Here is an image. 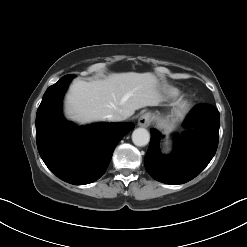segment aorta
Listing matches in <instances>:
<instances>
[{"mask_svg": "<svg viewBox=\"0 0 247 247\" xmlns=\"http://www.w3.org/2000/svg\"><path fill=\"white\" fill-rule=\"evenodd\" d=\"M149 140L150 134L145 128H137L132 133V141L136 146H145Z\"/></svg>", "mask_w": 247, "mask_h": 247, "instance_id": "762f6f07", "label": "aorta"}]
</instances>
